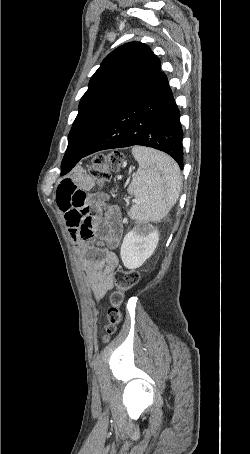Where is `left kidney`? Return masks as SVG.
Segmentation results:
<instances>
[{"label": "left kidney", "mask_w": 250, "mask_h": 454, "mask_svg": "<svg viewBox=\"0 0 250 454\" xmlns=\"http://www.w3.org/2000/svg\"><path fill=\"white\" fill-rule=\"evenodd\" d=\"M159 241L158 230L146 231L144 228H134L128 232L121 245L120 256L124 266L136 269L152 256Z\"/></svg>", "instance_id": "left-kidney-1"}]
</instances>
